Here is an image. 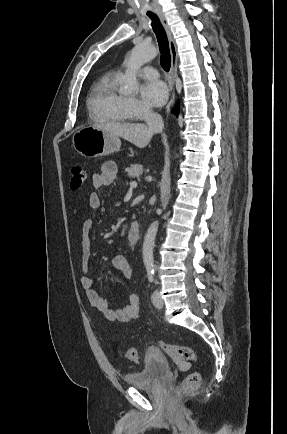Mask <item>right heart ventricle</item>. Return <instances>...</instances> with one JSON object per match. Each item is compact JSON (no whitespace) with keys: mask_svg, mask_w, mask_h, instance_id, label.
Returning a JSON list of instances; mask_svg holds the SVG:
<instances>
[{"mask_svg":"<svg viewBox=\"0 0 287 434\" xmlns=\"http://www.w3.org/2000/svg\"><path fill=\"white\" fill-rule=\"evenodd\" d=\"M118 90V73L107 72L93 84L88 96L89 115L96 122L123 123L131 118Z\"/></svg>","mask_w":287,"mask_h":434,"instance_id":"e07e8e85","label":"right heart ventricle"}]
</instances>
